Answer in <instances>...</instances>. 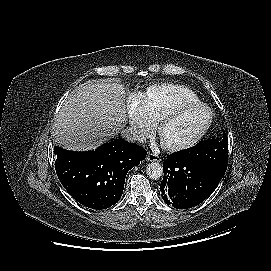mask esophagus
<instances>
[{
    "label": "esophagus",
    "mask_w": 271,
    "mask_h": 271,
    "mask_svg": "<svg viewBox=\"0 0 271 271\" xmlns=\"http://www.w3.org/2000/svg\"><path fill=\"white\" fill-rule=\"evenodd\" d=\"M146 160L150 161V162H160L162 159L160 156H158L154 153H149Z\"/></svg>",
    "instance_id": "34e87169"
}]
</instances>
